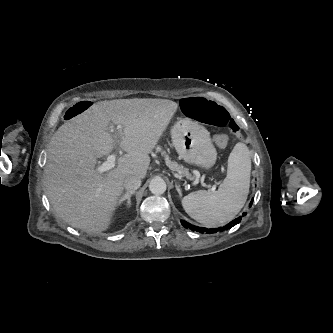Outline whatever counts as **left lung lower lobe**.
Returning <instances> with one entry per match:
<instances>
[{
  "label": "left lung lower lobe",
  "mask_w": 333,
  "mask_h": 333,
  "mask_svg": "<svg viewBox=\"0 0 333 333\" xmlns=\"http://www.w3.org/2000/svg\"><path fill=\"white\" fill-rule=\"evenodd\" d=\"M253 200H251L249 207L252 205ZM246 215V213H243L242 216L236 218L235 220L231 221L229 224L223 226V227H219V228H211V229H207V228H202V227H198V226H193L192 224L188 223L185 220H181V224L183 225V227H185L186 229H190L192 231H197L200 233H208V234H212V233H216V232H222L224 230H228L230 228H232L233 226H235L236 224L240 223L242 220V217Z\"/></svg>",
  "instance_id": "0a47b994"
}]
</instances>
